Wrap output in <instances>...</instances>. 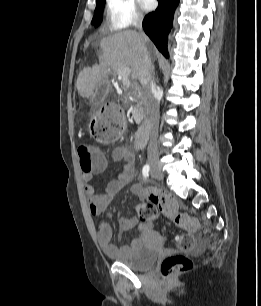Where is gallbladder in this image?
<instances>
[{
  "label": "gallbladder",
  "instance_id": "obj_1",
  "mask_svg": "<svg viewBox=\"0 0 261 306\" xmlns=\"http://www.w3.org/2000/svg\"><path fill=\"white\" fill-rule=\"evenodd\" d=\"M107 94H108L107 84L104 82L100 83L93 95L92 100L95 104H98L106 98Z\"/></svg>",
  "mask_w": 261,
  "mask_h": 306
}]
</instances>
